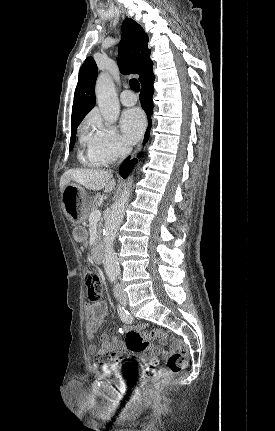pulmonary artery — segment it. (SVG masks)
<instances>
[{
  "label": "pulmonary artery",
  "mask_w": 275,
  "mask_h": 431,
  "mask_svg": "<svg viewBox=\"0 0 275 431\" xmlns=\"http://www.w3.org/2000/svg\"><path fill=\"white\" fill-rule=\"evenodd\" d=\"M120 101L124 106H133L137 102V97L130 90H125L120 95Z\"/></svg>",
  "instance_id": "obj_1"
}]
</instances>
